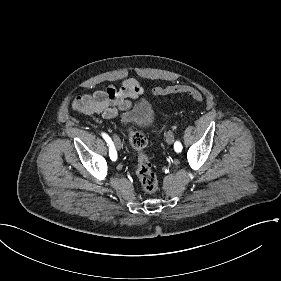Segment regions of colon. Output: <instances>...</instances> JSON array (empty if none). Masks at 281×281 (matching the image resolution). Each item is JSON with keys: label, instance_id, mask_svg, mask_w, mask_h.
Instances as JSON below:
<instances>
[{"label": "colon", "instance_id": "obj_1", "mask_svg": "<svg viewBox=\"0 0 281 281\" xmlns=\"http://www.w3.org/2000/svg\"><path fill=\"white\" fill-rule=\"evenodd\" d=\"M178 91L182 94L187 93L197 101H201L203 99V95L199 91H196L192 87L189 88L186 85H182L179 87L175 84L173 86H169L168 88L157 87L153 90V93L157 95H168L174 92L176 93ZM132 143L137 152L136 173L139 178L142 190L149 195L155 194L158 191L159 183L156 174L151 168L149 156L146 152L145 137L138 131H134L132 133Z\"/></svg>", "mask_w": 281, "mask_h": 281}]
</instances>
